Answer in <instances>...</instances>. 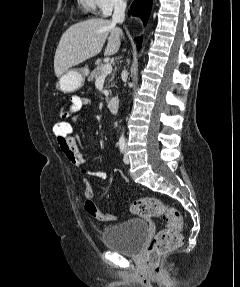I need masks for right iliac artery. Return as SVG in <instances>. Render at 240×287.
Listing matches in <instances>:
<instances>
[{
    "mask_svg": "<svg viewBox=\"0 0 240 287\" xmlns=\"http://www.w3.org/2000/svg\"><path fill=\"white\" fill-rule=\"evenodd\" d=\"M118 144H119V148H120L121 153H124L125 152V148H126L125 140L121 139Z\"/></svg>",
    "mask_w": 240,
    "mask_h": 287,
    "instance_id": "82829eb1",
    "label": "right iliac artery"
}]
</instances>
